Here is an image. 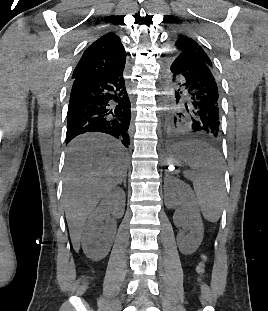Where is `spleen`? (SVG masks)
Segmentation results:
<instances>
[{
    "label": "spleen",
    "mask_w": 268,
    "mask_h": 311,
    "mask_svg": "<svg viewBox=\"0 0 268 311\" xmlns=\"http://www.w3.org/2000/svg\"><path fill=\"white\" fill-rule=\"evenodd\" d=\"M189 156L184 158L192 172L186 177L193 181L196 201L204 218L217 222L220 218L224 186L222 179V160L219 151L206 140H189Z\"/></svg>",
    "instance_id": "1"
}]
</instances>
